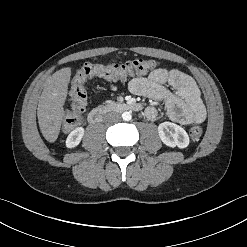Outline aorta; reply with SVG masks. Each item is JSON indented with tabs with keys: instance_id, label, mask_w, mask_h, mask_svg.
I'll return each instance as SVG.
<instances>
[{
	"instance_id": "1",
	"label": "aorta",
	"mask_w": 247,
	"mask_h": 247,
	"mask_svg": "<svg viewBox=\"0 0 247 247\" xmlns=\"http://www.w3.org/2000/svg\"><path fill=\"white\" fill-rule=\"evenodd\" d=\"M131 118H132V115H131L130 112L126 111V112H123V113H122V119H123L124 121H130Z\"/></svg>"
}]
</instances>
